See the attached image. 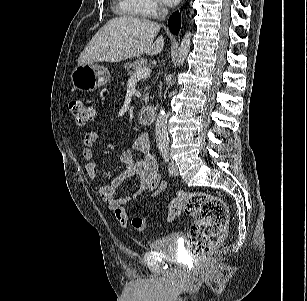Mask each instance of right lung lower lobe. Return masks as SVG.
I'll return each mask as SVG.
<instances>
[{
    "mask_svg": "<svg viewBox=\"0 0 307 301\" xmlns=\"http://www.w3.org/2000/svg\"><path fill=\"white\" fill-rule=\"evenodd\" d=\"M169 29L173 34L178 35L181 26V15L179 12L173 13L168 20Z\"/></svg>",
    "mask_w": 307,
    "mask_h": 301,
    "instance_id": "98d812e1",
    "label": "right lung lower lobe"
}]
</instances>
